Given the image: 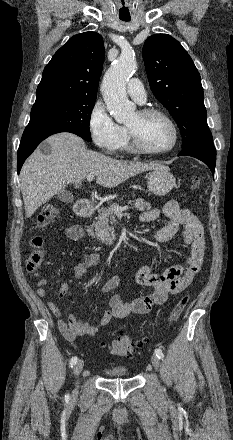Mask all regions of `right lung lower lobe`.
I'll return each mask as SVG.
<instances>
[{"instance_id":"1","label":"right lung lower lobe","mask_w":233,"mask_h":440,"mask_svg":"<svg viewBox=\"0 0 233 440\" xmlns=\"http://www.w3.org/2000/svg\"><path fill=\"white\" fill-rule=\"evenodd\" d=\"M59 132H71L64 129H46V128H28L26 127L21 143L18 149V155H17V171L20 172V169L26 160V158L35 150L37 145L42 142L44 139L49 137L52 134L59 133ZM73 133V132H71Z\"/></svg>"}]
</instances>
